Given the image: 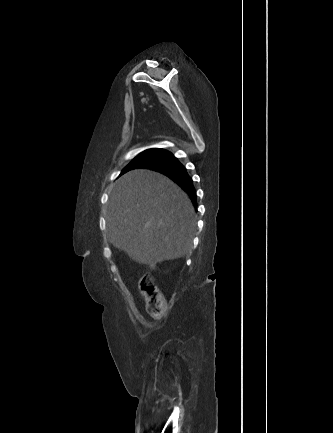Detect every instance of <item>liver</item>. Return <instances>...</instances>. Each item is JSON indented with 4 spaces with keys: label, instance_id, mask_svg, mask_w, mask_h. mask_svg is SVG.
Wrapping results in <instances>:
<instances>
[{
    "label": "liver",
    "instance_id": "1",
    "mask_svg": "<svg viewBox=\"0 0 333 433\" xmlns=\"http://www.w3.org/2000/svg\"><path fill=\"white\" fill-rule=\"evenodd\" d=\"M194 215L188 195L169 178L135 169L112 186L106 229L116 248L152 267L188 252L196 224Z\"/></svg>",
    "mask_w": 333,
    "mask_h": 433
}]
</instances>
